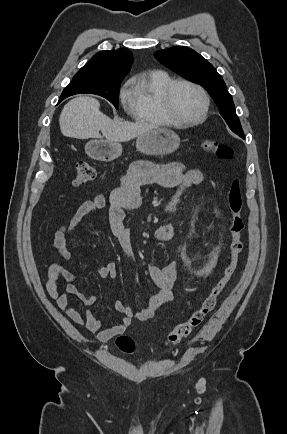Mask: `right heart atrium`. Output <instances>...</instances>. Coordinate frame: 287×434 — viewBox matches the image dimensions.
Here are the masks:
<instances>
[{
  "label": "right heart atrium",
  "mask_w": 287,
  "mask_h": 434,
  "mask_svg": "<svg viewBox=\"0 0 287 434\" xmlns=\"http://www.w3.org/2000/svg\"><path fill=\"white\" fill-rule=\"evenodd\" d=\"M131 81H128L123 88L120 90V100L123 106L128 109L132 102V92H131Z\"/></svg>",
  "instance_id": "d8ad5b80"
}]
</instances>
